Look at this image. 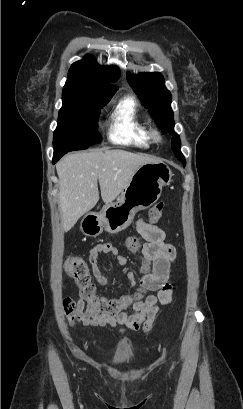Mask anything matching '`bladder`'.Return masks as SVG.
<instances>
[{
    "label": "bladder",
    "mask_w": 243,
    "mask_h": 409,
    "mask_svg": "<svg viewBox=\"0 0 243 409\" xmlns=\"http://www.w3.org/2000/svg\"><path fill=\"white\" fill-rule=\"evenodd\" d=\"M128 361H129V359H127V358H116L113 361H111L109 363V365L110 366H117V365L123 364V363L128 362Z\"/></svg>",
    "instance_id": "bladder-1"
}]
</instances>
